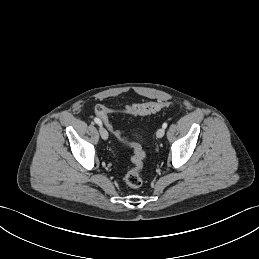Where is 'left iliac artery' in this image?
I'll return each instance as SVG.
<instances>
[{
	"label": "left iliac artery",
	"mask_w": 259,
	"mask_h": 259,
	"mask_svg": "<svg viewBox=\"0 0 259 259\" xmlns=\"http://www.w3.org/2000/svg\"><path fill=\"white\" fill-rule=\"evenodd\" d=\"M162 127H163L164 129L167 128V123H166V122L163 123Z\"/></svg>",
	"instance_id": "1"
}]
</instances>
